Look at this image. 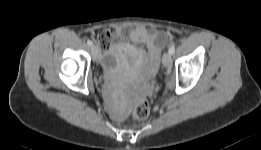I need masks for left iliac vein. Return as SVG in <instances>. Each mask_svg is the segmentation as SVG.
Masks as SVG:
<instances>
[{"mask_svg":"<svg viewBox=\"0 0 261 150\" xmlns=\"http://www.w3.org/2000/svg\"><path fill=\"white\" fill-rule=\"evenodd\" d=\"M162 63L168 69L172 67V57L169 52L164 53V55L162 57Z\"/></svg>","mask_w":261,"mask_h":150,"instance_id":"1","label":"left iliac vein"}]
</instances>
